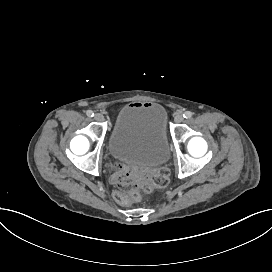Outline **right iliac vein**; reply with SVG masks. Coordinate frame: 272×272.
<instances>
[{
  "instance_id": "63e3f726",
  "label": "right iliac vein",
  "mask_w": 272,
  "mask_h": 272,
  "mask_svg": "<svg viewBox=\"0 0 272 272\" xmlns=\"http://www.w3.org/2000/svg\"><path fill=\"white\" fill-rule=\"evenodd\" d=\"M94 118H95V120L98 121V122H101V121L104 120L103 115L100 114V113L95 114Z\"/></svg>"
}]
</instances>
